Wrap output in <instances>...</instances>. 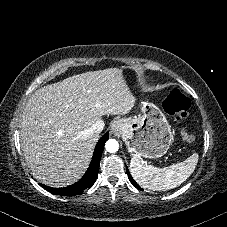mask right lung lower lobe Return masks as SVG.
I'll list each match as a JSON object with an SVG mask.
<instances>
[{"label": "right lung lower lobe", "instance_id": "98d812e1", "mask_svg": "<svg viewBox=\"0 0 227 227\" xmlns=\"http://www.w3.org/2000/svg\"><path fill=\"white\" fill-rule=\"evenodd\" d=\"M108 138H109L108 133H105L101 137V139L96 145V148L92 157V161L90 163L88 170L78 182L64 188H51L46 185L40 184L41 187H43L45 190H47L52 194L63 195V196L78 195V194H81L86 188H90L94 184L97 178L104 144L108 140Z\"/></svg>", "mask_w": 227, "mask_h": 227}]
</instances>
